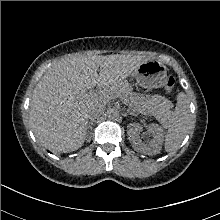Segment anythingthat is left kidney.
<instances>
[{
    "instance_id": "left-kidney-1",
    "label": "left kidney",
    "mask_w": 220,
    "mask_h": 220,
    "mask_svg": "<svg viewBox=\"0 0 220 220\" xmlns=\"http://www.w3.org/2000/svg\"><path fill=\"white\" fill-rule=\"evenodd\" d=\"M141 131L142 126L139 123H132L127 127V134L134 149L148 155L158 154L163 142V129L157 124H150L148 126V131L153 136V140L148 145L142 143L139 136Z\"/></svg>"
}]
</instances>
